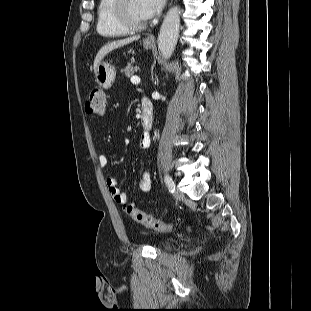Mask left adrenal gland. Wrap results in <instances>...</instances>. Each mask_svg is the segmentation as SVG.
Instances as JSON below:
<instances>
[{"label":"left adrenal gland","instance_id":"left-adrenal-gland-1","mask_svg":"<svg viewBox=\"0 0 311 311\" xmlns=\"http://www.w3.org/2000/svg\"><path fill=\"white\" fill-rule=\"evenodd\" d=\"M158 83H159V79L157 76H155V84L158 85Z\"/></svg>","mask_w":311,"mask_h":311}]
</instances>
